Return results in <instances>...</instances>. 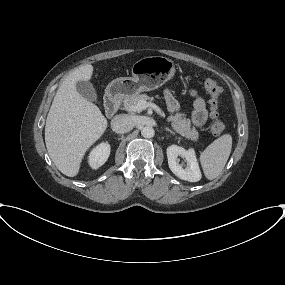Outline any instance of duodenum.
I'll return each mask as SVG.
<instances>
[{
    "label": "duodenum",
    "mask_w": 285,
    "mask_h": 285,
    "mask_svg": "<svg viewBox=\"0 0 285 285\" xmlns=\"http://www.w3.org/2000/svg\"><path fill=\"white\" fill-rule=\"evenodd\" d=\"M120 97L114 93L109 92L105 98V112L107 117H112L120 106Z\"/></svg>",
    "instance_id": "410a0bca"
}]
</instances>
